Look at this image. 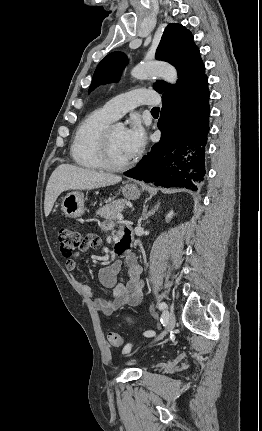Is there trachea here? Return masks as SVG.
<instances>
[{"label": "trachea", "instance_id": "trachea-1", "mask_svg": "<svg viewBox=\"0 0 262 431\" xmlns=\"http://www.w3.org/2000/svg\"><path fill=\"white\" fill-rule=\"evenodd\" d=\"M151 112H152V114L159 113V107H153Z\"/></svg>", "mask_w": 262, "mask_h": 431}]
</instances>
